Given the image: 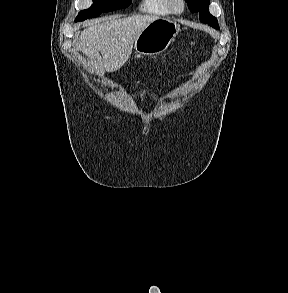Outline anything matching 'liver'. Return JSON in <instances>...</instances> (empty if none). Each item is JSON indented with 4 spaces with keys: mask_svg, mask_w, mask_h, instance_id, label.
<instances>
[{
    "mask_svg": "<svg viewBox=\"0 0 288 293\" xmlns=\"http://www.w3.org/2000/svg\"><path fill=\"white\" fill-rule=\"evenodd\" d=\"M158 18L157 15H134L91 24L81 32L78 43V49L87 56L88 68L100 76L105 70L120 69L128 61L138 35Z\"/></svg>",
    "mask_w": 288,
    "mask_h": 293,
    "instance_id": "6515ba94",
    "label": "liver"
}]
</instances>
